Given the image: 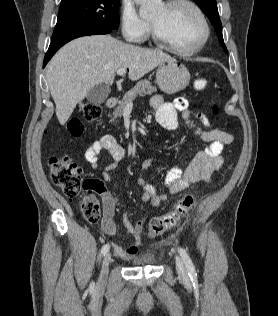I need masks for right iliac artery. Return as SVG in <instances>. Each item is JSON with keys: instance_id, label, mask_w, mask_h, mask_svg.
<instances>
[{"instance_id": "right-iliac-artery-1", "label": "right iliac artery", "mask_w": 278, "mask_h": 316, "mask_svg": "<svg viewBox=\"0 0 278 316\" xmlns=\"http://www.w3.org/2000/svg\"><path fill=\"white\" fill-rule=\"evenodd\" d=\"M109 249H110L109 244L103 245V247H102V249H101V254H102V255H105V254L109 251Z\"/></svg>"}]
</instances>
